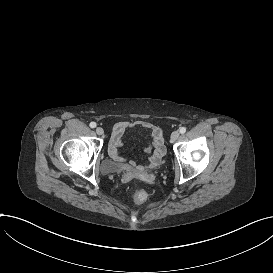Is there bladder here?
<instances>
[{
	"instance_id": "bladder-1",
	"label": "bladder",
	"mask_w": 273,
	"mask_h": 273,
	"mask_svg": "<svg viewBox=\"0 0 273 273\" xmlns=\"http://www.w3.org/2000/svg\"><path fill=\"white\" fill-rule=\"evenodd\" d=\"M101 170L105 175H112L124 170L122 163L107 158L101 164Z\"/></svg>"
}]
</instances>
